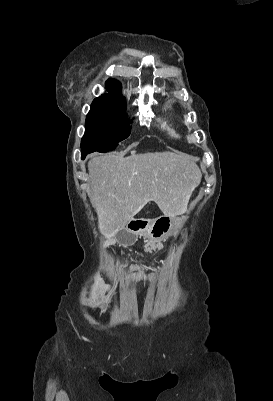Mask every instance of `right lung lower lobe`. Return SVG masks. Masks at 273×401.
<instances>
[{
  "label": "right lung lower lobe",
  "mask_w": 273,
  "mask_h": 401,
  "mask_svg": "<svg viewBox=\"0 0 273 401\" xmlns=\"http://www.w3.org/2000/svg\"><path fill=\"white\" fill-rule=\"evenodd\" d=\"M85 157V155L84 154H82V158H84Z\"/></svg>",
  "instance_id": "right-lung-lower-lobe-1"
}]
</instances>
